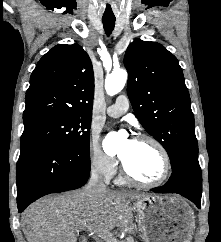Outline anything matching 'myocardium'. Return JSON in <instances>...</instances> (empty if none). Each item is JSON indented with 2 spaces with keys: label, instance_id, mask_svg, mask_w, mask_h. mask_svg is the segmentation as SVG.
<instances>
[{
  "label": "myocardium",
  "instance_id": "obj_1",
  "mask_svg": "<svg viewBox=\"0 0 221 242\" xmlns=\"http://www.w3.org/2000/svg\"><path fill=\"white\" fill-rule=\"evenodd\" d=\"M136 140L151 142L157 148V150L159 151V153L162 157V161H163L162 174L160 175V177L158 179H156L154 181L141 180V179L137 178L136 176H134L129 171L126 163L124 162L123 158L120 156V161H121V166H122V171H123L124 177L129 182H132V183L137 184L142 187H148V188L157 187V186L161 185L162 183H164L170 174L171 160H170L169 153L166 150V148L164 147V145L158 139H156L155 137H153L151 135L142 134V135H139L136 138Z\"/></svg>",
  "mask_w": 221,
  "mask_h": 242
}]
</instances>
